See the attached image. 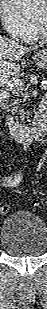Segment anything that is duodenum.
Masks as SVG:
<instances>
[{
	"instance_id": "obj_1",
	"label": "duodenum",
	"mask_w": 47,
	"mask_h": 309,
	"mask_svg": "<svg viewBox=\"0 0 47 309\" xmlns=\"http://www.w3.org/2000/svg\"><path fill=\"white\" fill-rule=\"evenodd\" d=\"M6 123L15 139L21 143L29 144L33 139L39 140L44 135L46 118L44 113H38L32 129L15 121L11 115L6 116Z\"/></svg>"
}]
</instances>
